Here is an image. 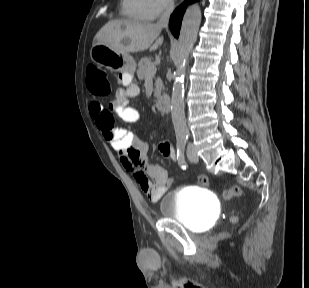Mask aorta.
<instances>
[{
	"instance_id": "1",
	"label": "aorta",
	"mask_w": 309,
	"mask_h": 288,
	"mask_svg": "<svg viewBox=\"0 0 309 288\" xmlns=\"http://www.w3.org/2000/svg\"><path fill=\"white\" fill-rule=\"evenodd\" d=\"M201 23L198 5L187 8L180 29L176 71L171 96V117L177 139H186L188 129L185 120L184 77L190 51L196 42Z\"/></svg>"
}]
</instances>
